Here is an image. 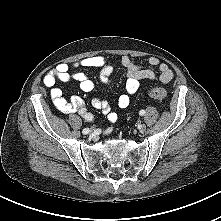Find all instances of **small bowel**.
<instances>
[{
  "mask_svg": "<svg viewBox=\"0 0 221 221\" xmlns=\"http://www.w3.org/2000/svg\"><path fill=\"white\" fill-rule=\"evenodd\" d=\"M119 63L127 70L126 93L118 97L119 108L125 109L129 106L130 96L135 94L139 88V81L142 79L159 80L162 83L170 82L173 77L172 69L165 63H161L156 57L148 59V67H141L130 57L123 56ZM79 68H99V78L103 84L110 82L114 65L109 63L104 56L87 57L72 66L62 63L50 70L44 77V85L50 89V96L54 106L64 114H79L85 121H93V115L87 110L84 100L79 96H73L70 100L63 97L62 90L56 86L57 81L77 83L84 92H91L95 88L94 82ZM94 108L101 110L109 122L114 123L118 119L116 112L111 111L109 105L100 98L94 97L91 100ZM112 127L104 129L105 134L112 132Z\"/></svg>",
  "mask_w": 221,
  "mask_h": 221,
  "instance_id": "1",
  "label": "small bowel"
}]
</instances>
